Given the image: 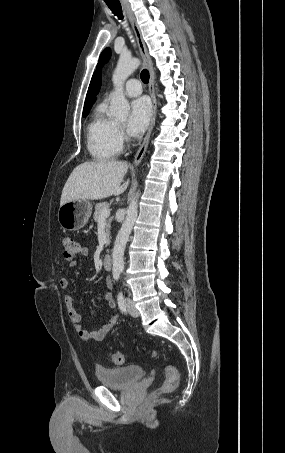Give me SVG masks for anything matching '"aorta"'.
Masks as SVG:
<instances>
[{"mask_svg":"<svg viewBox=\"0 0 285 453\" xmlns=\"http://www.w3.org/2000/svg\"><path fill=\"white\" fill-rule=\"evenodd\" d=\"M140 60L126 56H120L116 69L112 76L114 92L111 95L110 114L116 118H127L130 105L124 95V82L139 67ZM139 191L132 199L126 218L118 232L112 251L113 273L120 274L124 269V250L138 215Z\"/></svg>","mask_w":285,"mask_h":453,"instance_id":"obj_1","label":"aorta"}]
</instances>
